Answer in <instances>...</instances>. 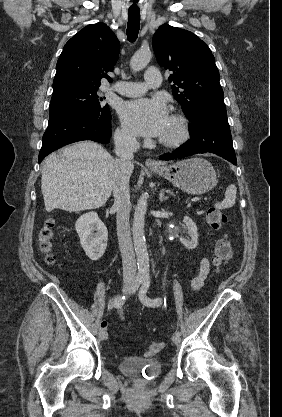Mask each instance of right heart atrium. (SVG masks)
I'll use <instances>...</instances> for the list:
<instances>
[{"mask_svg":"<svg viewBox=\"0 0 282 417\" xmlns=\"http://www.w3.org/2000/svg\"><path fill=\"white\" fill-rule=\"evenodd\" d=\"M117 142L119 145L134 149L136 146V140L134 137L125 129H119L116 133Z\"/></svg>","mask_w":282,"mask_h":417,"instance_id":"obj_1","label":"right heart atrium"}]
</instances>
